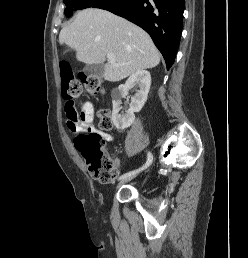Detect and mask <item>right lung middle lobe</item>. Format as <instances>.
<instances>
[{"mask_svg":"<svg viewBox=\"0 0 248 258\" xmlns=\"http://www.w3.org/2000/svg\"><path fill=\"white\" fill-rule=\"evenodd\" d=\"M106 1L108 0H64V3L66 4L65 15L70 17L76 10L95 7Z\"/></svg>","mask_w":248,"mask_h":258,"instance_id":"right-lung-middle-lobe-1","label":"right lung middle lobe"}]
</instances>
